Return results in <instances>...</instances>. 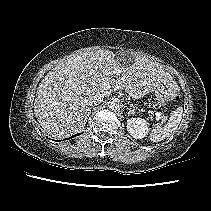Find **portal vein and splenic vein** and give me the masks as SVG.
<instances>
[{
    "label": "portal vein and splenic vein",
    "mask_w": 211,
    "mask_h": 211,
    "mask_svg": "<svg viewBox=\"0 0 211 211\" xmlns=\"http://www.w3.org/2000/svg\"><path fill=\"white\" fill-rule=\"evenodd\" d=\"M116 74H120V71H116ZM103 80H108V78H105V77H104ZM155 116H156V119L159 120V118H160V113H158V112L155 113Z\"/></svg>",
    "instance_id": "1"
}]
</instances>
